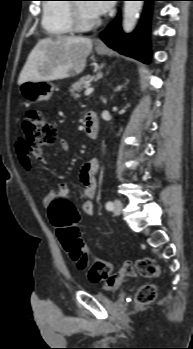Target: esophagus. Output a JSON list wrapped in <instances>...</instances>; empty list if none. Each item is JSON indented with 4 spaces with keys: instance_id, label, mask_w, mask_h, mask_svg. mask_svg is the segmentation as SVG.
<instances>
[{
    "instance_id": "34e87169",
    "label": "esophagus",
    "mask_w": 193,
    "mask_h": 349,
    "mask_svg": "<svg viewBox=\"0 0 193 349\" xmlns=\"http://www.w3.org/2000/svg\"><path fill=\"white\" fill-rule=\"evenodd\" d=\"M97 47H105V44H104V42L103 41H98L97 42Z\"/></svg>"
}]
</instances>
